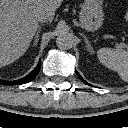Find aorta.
Masks as SVG:
<instances>
[{
    "label": "aorta",
    "instance_id": "762f6f07",
    "mask_svg": "<svg viewBox=\"0 0 128 128\" xmlns=\"http://www.w3.org/2000/svg\"><path fill=\"white\" fill-rule=\"evenodd\" d=\"M56 42L60 49L68 50L73 46L74 37L70 33L63 32L57 37Z\"/></svg>",
    "mask_w": 128,
    "mask_h": 128
}]
</instances>
